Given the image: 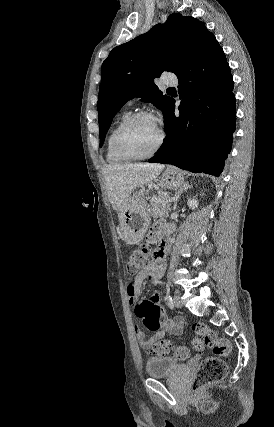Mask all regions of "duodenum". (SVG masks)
<instances>
[{"label": "duodenum", "instance_id": "obj_1", "mask_svg": "<svg viewBox=\"0 0 274 427\" xmlns=\"http://www.w3.org/2000/svg\"><path fill=\"white\" fill-rule=\"evenodd\" d=\"M171 232V227L167 226L160 232V241L158 247L154 251V258L159 260L162 259L169 251L170 239L169 235Z\"/></svg>", "mask_w": 274, "mask_h": 427}]
</instances>
